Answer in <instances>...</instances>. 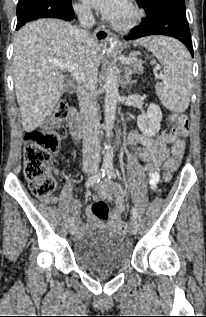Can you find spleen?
<instances>
[{
  "label": "spleen",
  "mask_w": 206,
  "mask_h": 317,
  "mask_svg": "<svg viewBox=\"0 0 206 317\" xmlns=\"http://www.w3.org/2000/svg\"><path fill=\"white\" fill-rule=\"evenodd\" d=\"M145 46L158 58L164 69L162 83L156 93L162 104L173 112H184L190 102L192 65L188 50L179 41L161 36L146 37L134 42Z\"/></svg>",
  "instance_id": "3e777b00"
}]
</instances>
